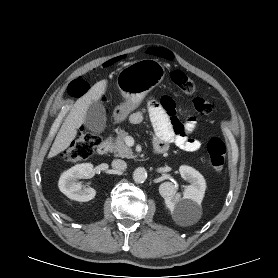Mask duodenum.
Segmentation results:
<instances>
[{"label":"duodenum","mask_w":278,"mask_h":278,"mask_svg":"<svg viewBox=\"0 0 278 278\" xmlns=\"http://www.w3.org/2000/svg\"><path fill=\"white\" fill-rule=\"evenodd\" d=\"M112 137H108L107 139H105L97 148V153L99 155H105L107 154L111 148H112ZM155 153L160 154L162 153V150L159 148H154Z\"/></svg>","instance_id":"1"}]
</instances>
